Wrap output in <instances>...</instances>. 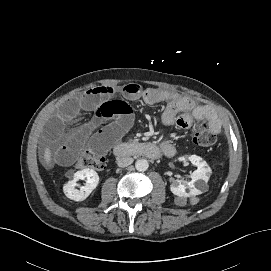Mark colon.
Returning <instances> with one entry per match:
<instances>
[{
	"instance_id": "1",
	"label": "colon",
	"mask_w": 271,
	"mask_h": 271,
	"mask_svg": "<svg viewBox=\"0 0 271 271\" xmlns=\"http://www.w3.org/2000/svg\"><path fill=\"white\" fill-rule=\"evenodd\" d=\"M216 140V135L207 122L204 120L198 122L193 137L194 143L203 148H210L216 143ZM104 166V158L88 150L84 151L75 163L77 169L102 170Z\"/></svg>"
}]
</instances>
